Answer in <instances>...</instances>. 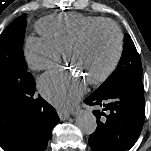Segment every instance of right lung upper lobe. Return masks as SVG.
Returning <instances> with one entry per match:
<instances>
[{
	"instance_id": "obj_1",
	"label": "right lung upper lobe",
	"mask_w": 151,
	"mask_h": 151,
	"mask_svg": "<svg viewBox=\"0 0 151 151\" xmlns=\"http://www.w3.org/2000/svg\"><path fill=\"white\" fill-rule=\"evenodd\" d=\"M19 111L16 106L0 103V146L5 151L16 149L19 134Z\"/></svg>"
}]
</instances>
